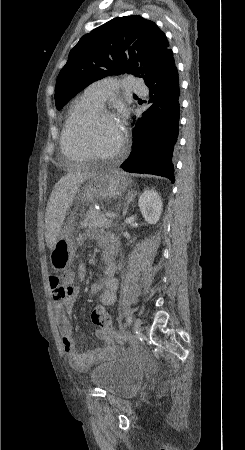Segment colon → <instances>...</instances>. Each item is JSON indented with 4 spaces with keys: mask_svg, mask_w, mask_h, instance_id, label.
Instances as JSON below:
<instances>
[{
    "mask_svg": "<svg viewBox=\"0 0 245 450\" xmlns=\"http://www.w3.org/2000/svg\"><path fill=\"white\" fill-rule=\"evenodd\" d=\"M90 318L93 324L98 328L106 330L109 335H113L117 339H122V336L114 331L111 319L105 308H103L102 306H95L91 311Z\"/></svg>",
    "mask_w": 245,
    "mask_h": 450,
    "instance_id": "1",
    "label": "colon"
}]
</instances>
